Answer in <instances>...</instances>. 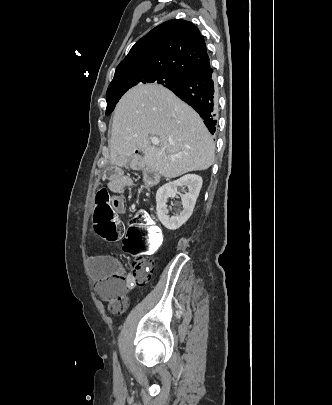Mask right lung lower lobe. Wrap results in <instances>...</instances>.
Segmentation results:
<instances>
[{
	"label": "right lung lower lobe",
	"mask_w": 332,
	"mask_h": 405,
	"mask_svg": "<svg viewBox=\"0 0 332 405\" xmlns=\"http://www.w3.org/2000/svg\"><path fill=\"white\" fill-rule=\"evenodd\" d=\"M167 88L199 113L212 134L216 131L217 83L210 64Z\"/></svg>",
	"instance_id": "right-lung-lower-lobe-1"
}]
</instances>
